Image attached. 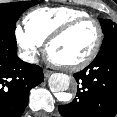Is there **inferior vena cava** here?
Wrapping results in <instances>:
<instances>
[{
	"label": "inferior vena cava",
	"instance_id": "1",
	"mask_svg": "<svg viewBox=\"0 0 117 117\" xmlns=\"http://www.w3.org/2000/svg\"><path fill=\"white\" fill-rule=\"evenodd\" d=\"M19 57L23 60H29L30 62H33V63L38 61L37 59H34V57L32 56L25 55V53H20Z\"/></svg>",
	"mask_w": 117,
	"mask_h": 117
}]
</instances>
